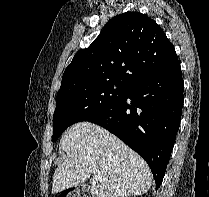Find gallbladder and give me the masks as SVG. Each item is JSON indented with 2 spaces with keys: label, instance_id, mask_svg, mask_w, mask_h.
<instances>
[{
  "label": "gallbladder",
  "instance_id": "gallbladder-1",
  "mask_svg": "<svg viewBox=\"0 0 209 197\" xmlns=\"http://www.w3.org/2000/svg\"><path fill=\"white\" fill-rule=\"evenodd\" d=\"M82 190L83 191H88L89 190V184H83L82 185Z\"/></svg>",
  "mask_w": 209,
  "mask_h": 197
}]
</instances>
